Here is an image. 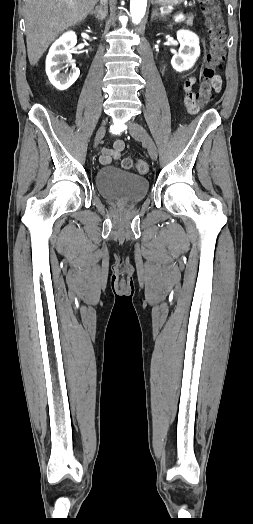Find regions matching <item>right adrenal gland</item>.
<instances>
[{"mask_svg": "<svg viewBox=\"0 0 253 524\" xmlns=\"http://www.w3.org/2000/svg\"><path fill=\"white\" fill-rule=\"evenodd\" d=\"M107 13H108L107 6H105L104 8L96 7L94 10L90 12V14L95 15L96 19H98L99 21L104 20L107 16Z\"/></svg>", "mask_w": 253, "mask_h": 524, "instance_id": "right-adrenal-gland-1", "label": "right adrenal gland"}]
</instances>
